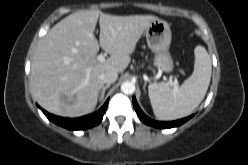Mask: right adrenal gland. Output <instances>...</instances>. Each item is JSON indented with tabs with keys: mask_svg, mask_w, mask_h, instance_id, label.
I'll return each instance as SVG.
<instances>
[{
	"mask_svg": "<svg viewBox=\"0 0 248 165\" xmlns=\"http://www.w3.org/2000/svg\"><path fill=\"white\" fill-rule=\"evenodd\" d=\"M110 87V84H107L102 88V91L99 94V100H102L104 98L105 91Z\"/></svg>",
	"mask_w": 248,
	"mask_h": 165,
	"instance_id": "obj_1",
	"label": "right adrenal gland"
}]
</instances>
